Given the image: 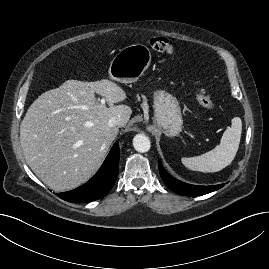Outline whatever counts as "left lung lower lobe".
<instances>
[{
	"label": "left lung lower lobe",
	"mask_w": 269,
	"mask_h": 269,
	"mask_svg": "<svg viewBox=\"0 0 269 269\" xmlns=\"http://www.w3.org/2000/svg\"><path fill=\"white\" fill-rule=\"evenodd\" d=\"M158 167H159L160 176L163 182L165 183V185L168 188H170L172 191L180 195L200 196V195H204V194L213 192L215 190H218L225 185V184H219V185H214V186L190 185V184L181 182L173 178L171 175H169L164 169V167L162 166L160 161H158Z\"/></svg>",
	"instance_id": "obj_1"
}]
</instances>
